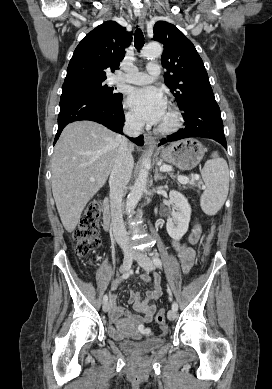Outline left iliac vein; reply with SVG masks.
Masks as SVG:
<instances>
[{
    "label": "left iliac vein",
    "instance_id": "left-iliac-vein-1",
    "mask_svg": "<svg viewBox=\"0 0 272 389\" xmlns=\"http://www.w3.org/2000/svg\"><path fill=\"white\" fill-rule=\"evenodd\" d=\"M135 259L145 271H151L154 269V264L146 253H137L135 255ZM167 317L169 320H174L176 318V311L170 310L167 314Z\"/></svg>",
    "mask_w": 272,
    "mask_h": 389
}]
</instances>
